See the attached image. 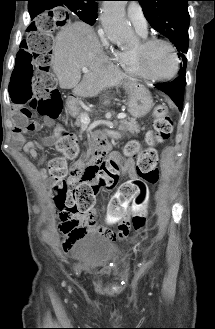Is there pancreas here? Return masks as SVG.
Instances as JSON below:
<instances>
[{
    "label": "pancreas",
    "instance_id": "obj_1",
    "mask_svg": "<svg viewBox=\"0 0 215 329\" xmlns=\"http://www.w3.org/2000/svg\"><path fill=\"white\" fill-rule=\"evenodd\" d=\"M83 115H87L85 112H75L73 113V116L76 118L75 125L80 126L81 125V118ZM144 128H142L143 130ZM119 130L123 133L129 132L131 134H138L140 132V127L138 123L136 122L135 119L133 118H128V120H122L120 125H119Z\"/></svg>",
    "mask_w": 215,
    "mask_h": 329
}]
</instances>
